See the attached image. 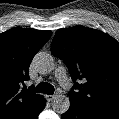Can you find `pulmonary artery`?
<instances>
[{"label":"pulmonary artery","instance_id":"pulmonary-artery-1","mask_svg":"<svg viewBox=\"0 0 119 119\" xmlns=\"http://www.w3.org/2000/svg\"><path fill=\"white\" fill-rule=\"evenodd\" d=\"M57 76H58L60 82L64 85H66V76H65L63 69L60 68L57 70Z\"/></svg>","mask_w":119,"mask_h":119}]
</instances>
